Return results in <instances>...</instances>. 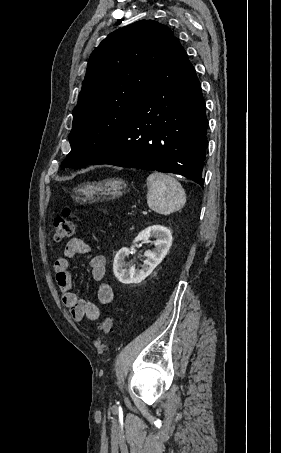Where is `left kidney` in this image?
<instances>
[{"label":"left kidney","instance_id":"obj_1","mask_svg":"<svg viewBox=\"0 0 281 453\" xmlns=\"http://www.w3.org/2000/svg\"><path fill=\"white\" fill-rule=\"evenodd\" d=\"M150 237H155L154 245L156 249L153 251H145L144 257H147L146 261H143L141 269H124V259L130 255V249L123 247L115 255L113 263V271L115 277H117L120 283L130 285V283H142L148 275H151L155 267L163 261L166 257L171 245H172V233L167 227H162V224H152V227H147L144 231L139 233L138 237L134 239V247L138 241H149Z\"/></svg>","mask_w":281,"mask_h":453}]
</instances>
